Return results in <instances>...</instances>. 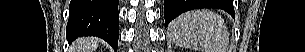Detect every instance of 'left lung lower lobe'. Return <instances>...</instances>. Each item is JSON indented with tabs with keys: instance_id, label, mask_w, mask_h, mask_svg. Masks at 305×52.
Listing matches in <instances>:
<instances>
[{
	"instance_id": "obj_1",
	"label": "left lung lower lobe",
	"mask_w": 305,
	"mask_h": 52,
	"mask_svg": "<svg viewBox=\"0 0 305 52\" xmlns=\"http://www.w3.org/2000/svg\"><path fill=\"white\" fill-rule=\"evenodd\" d=\"M229 1L231 4L228 7L223 8V10L227 11L232 17H234L233 3L232 0ZM204 7H212V5L205 0H164L165 24L167 26L171 20L185 11Z\"/></svg>"
}]
</instances>
